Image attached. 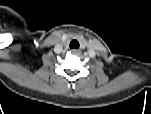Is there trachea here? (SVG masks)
Instances as JSON below:
<instances>
[{
    "label": "trachea",
    "mask_w": 151,
    "mask_h": 114,
    "mask_svg": "<svg viewBox=\"0 0 151 114\" xmlns=\"http://www.w3.org/2000/svg\"><path fill=\"white\" fill-rule=\"evenodd\" d=\"M69 46H70V49H78L80 44L76 39H73L70 41Z\"/></svg>",
    "instance_id": "obj_1"
}]
</instances>
